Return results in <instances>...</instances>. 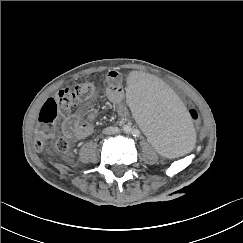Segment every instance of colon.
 I'll use <instances>...</instances> for the list:
<instances>
[{"label": "colon", "mask_w": 243, "mask_h": 243, "mask_svg": "<svg viewBox=\"0 0 243 243\" xmlns=\"http://www.w3.org/2000/svg\"><path fill=\"white\" fill-rule=\"evenodd\" d=\"M96 94L95 86L90 82H82L74 87L59 90L53 97L47 99L38 115V125L35 131L34 145L36 149H43L47 142L54 138L56 133L55 121L59 114H66L73 106L93 98ZM186 109L193 120L194 130L202 139V120L194 104L189 103ZM55 147L60 152L69 148L67 140L57 139Z\"/></svg>", "instance_id": "5ec220e1"}]
</instances>
